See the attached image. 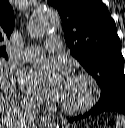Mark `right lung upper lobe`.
<instances>
[{
    "instance_id": "right-lung-upper-lobe-1",
    "label": "right lung upper lobe",
    "mask_w": 125,
    "mask_h": 128,
    "mask_svg": "<svg viewBox=\"0 0 125 128\" xmlns=\"http://www.w3.org/2000/svg\"><path fill=\"white\" fill-rule=\"evenodd\" d=\"M15 25L14 12L8 0H0V58L7 59L3 40L9 38Z\"/></svg>"
}]
</instances>
